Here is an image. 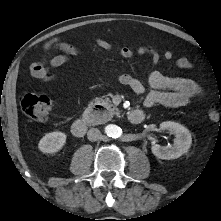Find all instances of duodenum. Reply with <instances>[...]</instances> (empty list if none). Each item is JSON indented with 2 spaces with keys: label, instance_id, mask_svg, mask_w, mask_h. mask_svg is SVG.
<instances>
[{
  "label": "duodenum",
  "instance_id": "duodenum-1",
  "mask_svg": "<svg viewBox=\"0 0 221 221\" xmlns=\"http://www.w3.org/2000/svg\"><path fill=\"white\" fill-rule=\"evenodd\" d=\"M144 112L141 110H132L128 113L127 119L132 124H139L144 120ZM74 136L83 137L87 132V124L83 119H77L71 126Z\"/></svg>",
  "mask_w": 221,
  "mask_h": 221
}]
</instances>
